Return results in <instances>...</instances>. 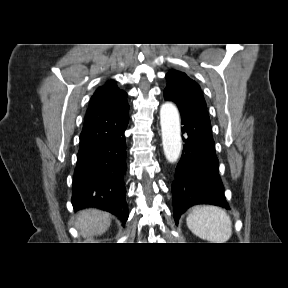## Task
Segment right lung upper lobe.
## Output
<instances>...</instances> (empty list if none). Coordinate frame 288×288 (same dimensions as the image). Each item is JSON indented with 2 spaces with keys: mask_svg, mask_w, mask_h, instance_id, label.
Segmentation results:
<instances>
[{
  "mask_svg": "<svg viewBox=\"0 0 288 288\" xmlns=\"http://www.w3.org/2000/svg\"><path fill=\"white\" fill-rule=\"evenodd\" d=\"M127 93L110 81L92 96L80 134L79 150L113 138L129 121Z\"/></svg>",
  "mask_w": 288,
  "mask_h": 288,
  "instance_id": "cb5924a9",
  "label": "right lung upper lobe"
}]
</instances>
